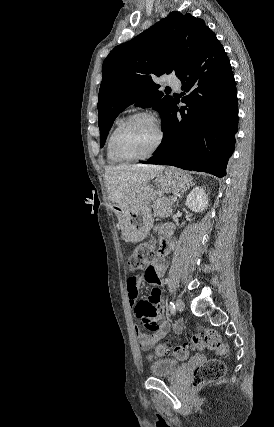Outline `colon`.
<instances>
[{"label":"colon","instance_id":"colon-1","mask_svg":"<svg viewBox=\"0 0 274 427\" xmlns=\"http://www.w3.org/2000/svg\"><path fill=\"white\" fill-rule=\"evenodd\" d=\"M157 247L154 242L141 243L133 250L127 260V269L136 273L142 270L147 262H153L158 256ZM193 343L198 349L207 348L219 355H226L227 345L222 341L220 335L213 329L198 328L192 336ZM167 353L178 360H186L190 357V349L187 346L172 345L168 342H160L159 347L147 349V354L155 359H166ZM150 360L149 358L147 359ZM226 374L225 364L218 359H209L201 363L195 370L192 381L193 389H203L204 386L221 381Z\"/></svg>","mask_w":274,"mask_h":427}]
</instances>
